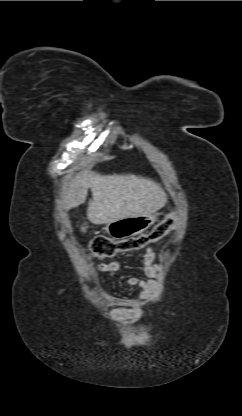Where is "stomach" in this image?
<instances>
[{"label": "stomach", "mask_w": 242, "mask_h": 416, "mask_svg": "<svg viewBox=\"0 0 242 416\" xmlns=\"http://www.w3.org/2000/svg\"><path fill=\"white\" fill-rule=\"evenodd\" d=\"M157 220L156 214L127 217L107 223L106 232L113 239H126L146 231Z\"/></svg>", "instance_id": "obj_1"}]
</instances>
